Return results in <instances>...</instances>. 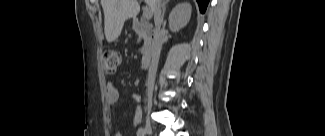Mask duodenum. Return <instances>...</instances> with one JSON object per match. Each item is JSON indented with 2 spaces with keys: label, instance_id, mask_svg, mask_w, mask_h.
Wrapping results in <instances>:
<instances>
[{
  "label": "duodenum",
  "instance_id": "1",
  "mask_svg": "<svg viewBox=\"0 0 325 136\" xmlns=\"http://www.w3.org/2000/svg\"><path fill=\"white\" fill-rule=\"evenodd\" d=\"M134 27L137 31L141 32L144 36V45H143V58L141 61V67L147 68L150 58L154 52L156 45V29L147 21L137 20L134 23Z\"/></svg>",
  "mask_w": 325,
  "mask_h": 136
}]
</instances>
